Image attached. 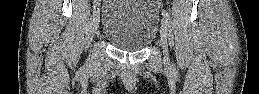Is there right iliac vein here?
<instances>
[{
	"instance_id": "63e3f726",
	"label": "right iliac vein",
	"mask_w": 259,
	"mask_h": 94,
	"mask_svg": "<svg viewBox=\"0 0 259 94\" xmlns=\"http://www.w3.org/2000/svg\"><path fill=\"white\" fill-rule=\"evenodd\" d=\"M99 21H100V9L99 5L94 6L93 11V33L96 34L99 27Z\"/></svg>"
}]
</instances>
